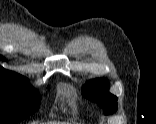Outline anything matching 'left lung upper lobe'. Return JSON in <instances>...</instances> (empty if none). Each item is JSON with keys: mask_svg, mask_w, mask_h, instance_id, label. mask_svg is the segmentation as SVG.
Instances as JSON below:
<instances>
[{"mask_svg": "<svg viewBox=\"0 0 156 124\" xmlns=\"http://www.w3.org/2000/svg\"><path fill=\"white\" fill-rule=\"evenodd\" d=\"M109 84L105 79H95L83 87V95L103 108L106 115L117 111V97L108 92Z\"/></svg>", "mask_w": 156, "mask_h": 124, "instance_id": "1", "label": "left lung upper lobe"}]
</instances>
